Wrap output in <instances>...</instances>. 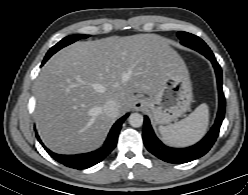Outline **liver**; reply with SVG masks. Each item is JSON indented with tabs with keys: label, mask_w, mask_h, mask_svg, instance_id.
I'll return each mask as SVG.
<instances>
[{
	"label": "liver",
	"mask_w": 248,
	"mask_h": 195,
	"mask_svg": "<svg viewBox=\"0 0 248 195\" xmlns=\"http://www.w3.org/2000/svg\"><path fill=\"white\" fill-rule=\"evenodd\" d=\"M184 62L156 34L113 36L76 42L53 55L36 81L35 120L44 144L59 154L97 149L134 93L155 95L171 70ZM119 104L116 118L106 101Z\"/></svg>",
	"instance_id": "obj_1"
}]
</instances>
